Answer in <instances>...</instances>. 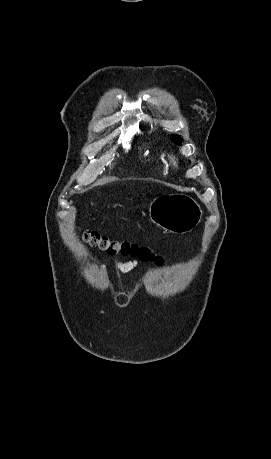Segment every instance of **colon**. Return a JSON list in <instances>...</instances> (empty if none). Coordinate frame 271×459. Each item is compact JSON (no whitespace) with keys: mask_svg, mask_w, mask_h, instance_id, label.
Masks as SVG:
<instances>
[{"mask_svg":"<svg viewBox=\"0 0 271 459\" xmlns=\"http://www.w3.org/2000/svg\"><path fill=\"white\" fill-rule=\"evenodd\" d=\"M82 236L85 242L110 255L121 254L123 256L137 258L141 261L154 262L155 264H161L163 262L162 258L156 256L148 247L129 240H111L93 230L83 231Z\"/></svg>","mask_w":271,"mask_h":459,"instance_id":"1","label":"colon"}]
</instances>
